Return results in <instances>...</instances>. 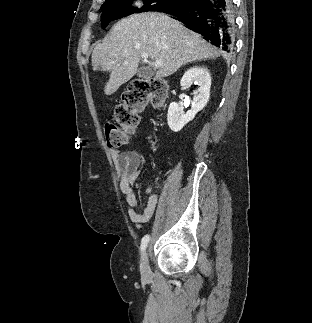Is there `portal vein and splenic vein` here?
<instances>
[{
    "label": "portal vein and splenic vein",
    "instance_id": "obj_1",
    "mask_svg": "<svg viewBox=\"0 0 312 323\" xmlns=\"http://www.w3.org/2000/svg\"><path fill=\"white\" fill-rule=\"evenodd\" d=\"M142 58H144V60H147L148 54H142ZM154 66H155V68H158V66H163V64H162V62H158V60H155Z\"/></svg>",
    "mask_w": 312,
    "mask_h": 323
}]
</instances>
